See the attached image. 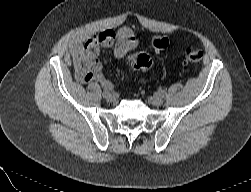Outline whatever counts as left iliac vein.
<instances>
[{
  "label": "left iliac vein",
  "instance_id": "1",
  "mask_svg": "<svg viewBox=\"0 0 251 192\" xmlns=\"http://www.w3.org/2000/svg\"><path fill=\"white\" fill-rule=\"evenodd\" d=\"M149 102L154 106H160L163 104V99L160 96H152L149 98Z\"/></svg>",
  "mask_w": 251,
  "mask_h": 192
}]
</instances>
